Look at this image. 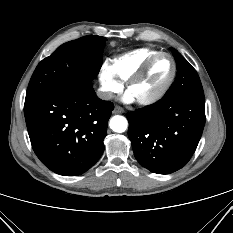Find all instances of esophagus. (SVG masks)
Instances as JSON below:
<instances>
[{"label": "esophagus", "mask_w": 233, "mask_h": 233, "mask_svg": "<svg viewBox=\"0 0 233 233\" xmlns=\"http://www.w3.org/2000/svg\"><path fill=\"white\" fill-rule=\"evenodd\" d=\"M123 112H124V109L122 107H120V106H115L114 107V110H113L114 114H121Z\"/></svg>", "instance_id": "1"}]
</instances>
